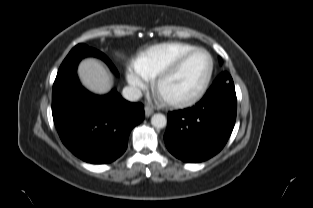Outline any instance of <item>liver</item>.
Segmentation results:
<instances>
[{
  "label": "liver",
  "instance_id": "liver-1",
  "mask_svg": "<svg viewBox=\"0 0 313 208\" xmlns=\"http://www.w3.org/2000/svg\"><path fill=\"white\" fill-rule=\"evenodd\" d=\"M78 76L89 91L95 94H105L112 86V80L106 69L96 59L86 58L78 66Z\"/></svg>",
  "mask_w": 313,
  "mask_h": 208
}]
</instances>
